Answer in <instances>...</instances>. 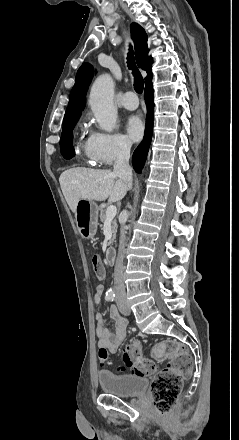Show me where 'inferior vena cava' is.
<instances>
[{
	"label": "inferior vena cava",
	"instance_id": "1",
	"mask_svg": "<svg viewBox=\"0 0 239 440\" xmlns=\"http://www.w3.org/2000/svg\"><path fill=\"white\" fill-rule=\"evenodd\" d=\"M132 142L129 138H123L120 140L119 150L116 152V158L114 162V174H117L121 180H124L127 184L128 190L132 188V168L129 166L130 150ZM125 218H128V214L125 210L123 212ZM125 226L122 224L120 228V240L118 254L115 262L114 268V284H115V294H116V305L118 307H131L132 305L127 302V295L125 292L124 280H123V260L125 254Z\"/></svg>",
	"mask_w": 239,
	"mask_h": 440
}]
</instances>
